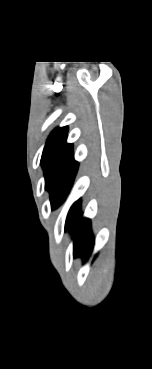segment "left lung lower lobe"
Here are the masks:
<instances>
[{"mask_svg":"<svg viewBox=\"0 0 152 369\" xmlns=\"http://www.w3.org/2000/svg\"><path fill=\"white\" fill-rule=\"evenodd\" d=\"M67 228L73 233L74 257L82 256L86 261L94 243L90 220L81 217L80 200L74 205Z\"/></svg>","mask_w":152,"mask_h":369,"instance_id":"1","label":"left lung lower lobe"}]
</instances>
